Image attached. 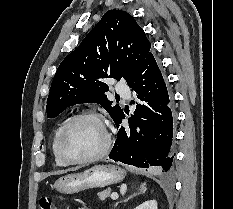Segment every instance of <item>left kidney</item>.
Returning <instances> with one entry per match:
<instances>
[{
  "mask_svg": "<svg viewBox=\"0 0 233 209\" xmlns=\"http://www.w3.org/2000/svg\"><path fill=\"white\" fill-rule=\"evenodd\" d=\"M135 209H158L156 200H148L137 206Z\"/></svg>",
  "mask_w": 233,
  "mask_h": 209,
  "instance_id": "left-kidney-1",
  "label": "left kidney"
}]
</instances>
